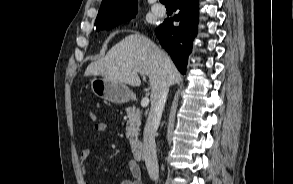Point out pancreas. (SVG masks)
I'll list each match as a JSON object with an SVG mask.
<instances>
[{
    "label": "pancreas",
    "mask_w": 293,
    "mask_h": 184,
    "mask_svg": "<svg viewBox=\"0 0 293 184\" xmlns=\"http://www.w3.org/2000/svg\"><path fill=\"white\" fill-rule=\"evenodd\" d=\"M127 123H126V137L132 142L137 138L141 125V112L140 109L133 107L126 108Z\"/></svg>",
    "instance_id": "cf45deb5"
}]
</instances>
